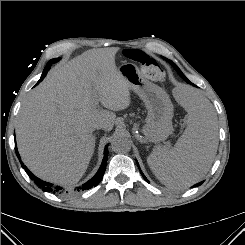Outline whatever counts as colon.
<instances>
[{"label":"colon","instance_id":"1","mask_svg":"<svg viewBox=\"0 0 245 245\" xmlns=\"http://www.w3.org/2000/svg\"><path fill=\"white\" fill-rule=\"evenodd\" d=\"M126 56L142 65L144 74L152 80H163L165 71L158 61L140 50H128Z\"/></svg>","mask_w":245,"mask_h":245}]
</instances>
